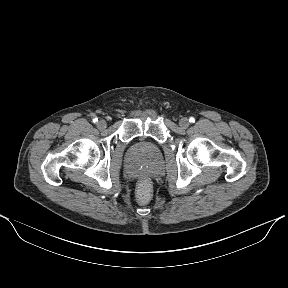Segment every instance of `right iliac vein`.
<instances>
[{
    "instance_id": "1",
    "label": "right iliac vein",
    "mask_w": 288,
    "mask_h": 288,
    "mask_svg": "<svg viewBox=\"0 0 288 288\" xmlns=\"http://www.w3.org/2000/svg\"><path fill=\"white\" fill-rule=\"evenodd\" d=\"M106 126H107V123H106L105 120H99V121L97 122V127H98L100 130L105 129Z\"/></svg>"
}]
</instances>
